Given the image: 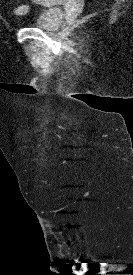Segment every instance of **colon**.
I'll return each mask as SVG.
<instances>
[{"label":"colon","mask_w":133,"mask_h":275,"mask_svg":"<svg viewBox=\"0 0 133 275\" xmlns=\"http://www.w3.org/2000/svg\"><path fill=\"white\" fill-rule=\"evenodd\" d=\"M27 11V7L26 6H20L16 9V13L18 14H23Z\"/></svg>","instance_id":"colon-1"}]
</instances>
